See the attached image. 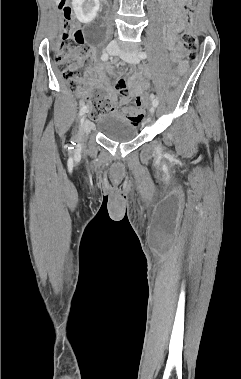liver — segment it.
<instances>
[{"label": "liver", "instance_id": "6515ba94", "mask_svg": "<svg viewBox=\"0 0 241 379\" xmlns=\"http://www.w3.org/2000/svg\"><path fill=\"white\" fill-rule=\"evenodd\" d=\"M56 2H57V3H59V2H60V0H56Z\"/></svg>", "mask_w": 241, "mask_h": 379}]
</instances>
